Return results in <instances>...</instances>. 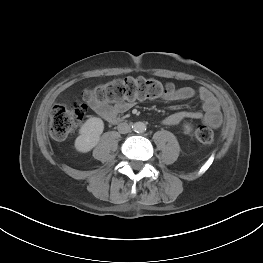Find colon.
Masks as SVG:
<instances>
[{"label":"colon","instance_id":"colon-1","mask_svg":"<svg viewBox=\"0 0 263 263\" xmlns=\"http://www.w3.org/2000/svg\"><path fill=\"white\" fill-rule=\"evenodd\" d=\"M170 83H162L152 78L127 77L116 79L99 85L86 92V100H96L104 103H123L135 100H152L174 92ZM84 107L75 103L72 105H56L50 114V134L54 139L67 138L82 122ZM196 138L203 144H212L215 140L213 130L200 124L195 130Z\"/></svg>","mask_w":263,"mask_h":263}]
</instances>
